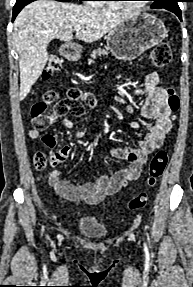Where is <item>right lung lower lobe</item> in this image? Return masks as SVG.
Instances as JSON below:
<instances>
[{
	"label": "right lung lower lobe",
	"mask_w": 193,
	"mask_h": 287,
	"mask_svg": "<svg viewBox=\"0 0 193 287\" xmlns=\"http://www.w3.org/2000/svg\"><path fill=\"white\" fill-rule=\"evenodd\" d=\"M35 0H17L14 8H13V19L18 15V13L29 3L33 2ZM57 1H62V2H70V0H57Z\"/></svg>",
	"instance_id": "98d812e1"
}]
</instances>
